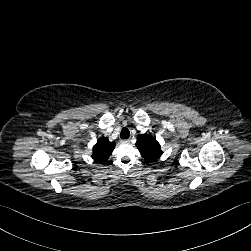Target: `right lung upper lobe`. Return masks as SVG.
I'll return each mask as SVG.
<instances>
[{"label":"right lung upper lobe","instance_id":"1","mask_svg":"<svg viewBox=\"0 0 251 251\" xmlns=\"http://www.w3.org/2000/svg\"><path fill=\"white\" fill-rule=\"evenodd\" d=\"M114 148V142H110L108 138H101L97 144L93 146V160L96 163H106Z\"/></svg>","mask_w":251,"mask_h":251}]
</instances>
